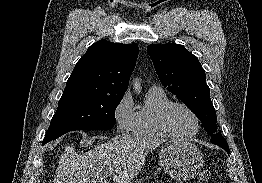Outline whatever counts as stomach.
<instances>
[{
  "instance_id": "obj_1",
  "label": "stomach",
  "mask_w": 262,
  "mask_h": 183,
  "mask_svg": "<svg viewBox=\"0 0 262 183\" xmlns=\"http://www.w3.org/2000/svg\"><path fill=\"white\" fill-rule=\"evenodd\" d=\"M159 159L167 174L178 181H186L195 177L204 162L200 150L184 139L167 141L160 150ZM136 182L139 181L132 183Z\"/></svg>"
}]
</instances>
